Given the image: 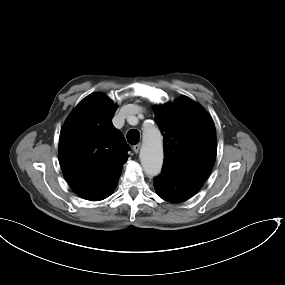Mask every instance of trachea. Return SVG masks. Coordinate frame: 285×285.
Returning a JSON list of instances; mask_svg holds the SVG:
<instances>
[{
	"label": "trachea",
	"mask_w": 285,
	"mask_h": 285,
	"mask_svg": "<svg viewBox=\"0 0 285 285\" xmlns=\"http://www.w3.org/2000/svg\"><path fill=\"white\" fill-rule=\"evenodd\" d=\"M139 139H140V133L138 130L132 129L127 133V141L131 145L137 144Z\"/></svg>",
	"instance_id": "obj_1"
}]
</instances>
